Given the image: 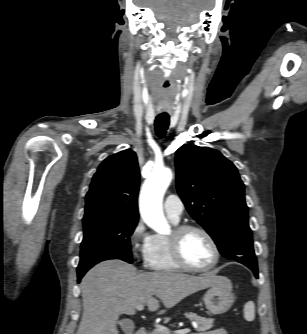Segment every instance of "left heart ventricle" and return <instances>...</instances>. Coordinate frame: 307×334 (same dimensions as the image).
I'll use <instances>...</instances> for the list:
<instances>
[{
  "instance_id": "1",
  "label": "left heart ventricle",
  "mask_w": 307,
  "mask_h": 334,
  "mask_svg": "<svg viewBox=\"0 0 307 334\" xmlns=\"http://www.w3.org/2000/svg\"><path fill=\"white\" fill-rule=\"evenodd\" d=\"M182 251L193 266L205 267L212 263L214 251L207 238L196 231L187 233L182 241Z\"/></svg>"
}]
</instances>
